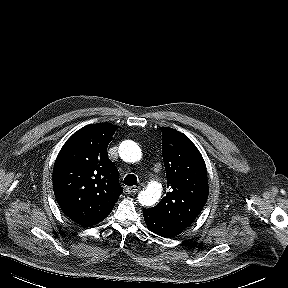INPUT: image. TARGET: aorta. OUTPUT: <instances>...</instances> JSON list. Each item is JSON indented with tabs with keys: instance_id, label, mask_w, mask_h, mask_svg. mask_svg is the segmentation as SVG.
Returning <instances> with one entry per match:
<instances>
[{
	"instance_id": "1",
	"label": "aorta",
	"mask_w": 288,
	"mask_h": 288,
	"mask_svg": "<svg viewBox=\"0 0 288 288\" xmlns=\"http://www.w3.org/2000/svg\"><path fill=\"white\" fill-rule=\"evenodd\" d=\"M119 155L126 162H137L141 159L140 147L131 140L123 141L119 146ZM162 193V186L156 181L148 184L147 188L138 194V201L143 206H152L158 202Z\"/></svg>"
}]
</instances>
